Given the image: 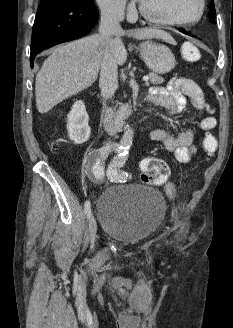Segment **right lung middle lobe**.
Wrapping results in <instances>:
<instances>
[{
	"mask_svg": "<svg viewBox=\"0 0 233 328\" xmlns=\"http://www.w3.org/2000/svg\"><path fill=\"white\" fill-rule=\"evenodd\" d=\"M78 2H83V3H93V0H74Z\"/></svg>",
	"mask_w": 233,
	"mask_h": 328,
	"instance_id": "obj_1",
	"label": "right lung middle lobe"
}]
</instances>
